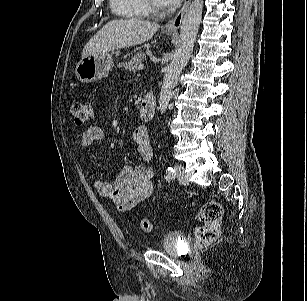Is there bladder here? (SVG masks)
<instances>
[{"instance_id": "31cf9c89", "label": "bladder", "mask_w": 307, "mask_h": 301, "mask_svg": "<svg viewBox=\"0 0 307 301\" xmlns=\"http://www.w3.org/2000/svg\"><path fill=\"white\" fill-rule=\"evenodd\" d=\"M160 250L173 255L177 256L180 252V246L178 242V234L176 233H169L162 239L160 245Z\"/></svg>"}]
</instances>
